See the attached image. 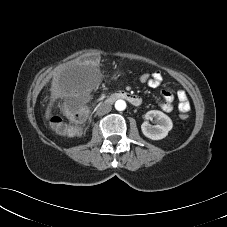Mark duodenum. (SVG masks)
Wrapping results in <instances>:
<instances>
[{
    "instance_id": "410a0bca",
    "label": "duodenum",
    "mask_w": 227,
    "mask_h": 227,
    "mask_svg": "<svg viewBox=\"0 0 227 227\" xmlns=\"http://www.w3.org/2000/svg\"><path fill=\"white\" fill-rule=\"evenodd\" d=\"M119 99L126 100L127 102H129L130 104H132L133 106H136V107L140 106L142 104V100L138 95L130 93V92H126V91H121V90L116 91V92L112 93L111 95H109L106 98L105 103L111 104Z\"/></svg>"
}]
</instances>
